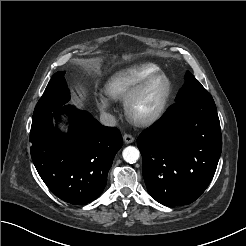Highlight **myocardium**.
Here are the masks:
<instances>
[{"label": "myocardium", "mask_w": 246, "mask_h": 246, "mask_svg": "<svg viewBox=\"0 0 246 246\" xmlns=\"http://www.w3.org/2000/svg\"><path fill=\"white\" fill-rule=\"evenodd\" d=\"M158 79H164L167 84L166 92L161 99L159 105L150 113L140 114L136 110V105L144 94L146 89L152 84L154 81ZM172 94V82L170 78L163 72L155 73L147 78H145L142 82H140L125 98L124 108L127 117L137 125L147 126L155 123L159 120L164 114L169 100Z\"/></svg>", "instance_id": "1"}]
</instances>
